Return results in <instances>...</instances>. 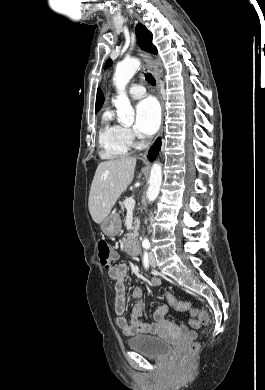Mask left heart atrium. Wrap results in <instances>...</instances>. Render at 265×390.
Masks as SVG:
<instances>
[{
    "label": "left heart atrium",
    "mask_w": 265,
    "mask_h": 390,
    "mask_svg": "<svg viewBox=\"0 0 265 390\" xmlns=\"http://www.w3.org/2000/svg\"><path fill=\"white\" fill-rule=\"evenodd\" d=\"M160 109L152 98L140 101L136 106V129L144 135L154 134L160 124Z\"/></svg>",
    "instance_id": "39dd6f15"
}]
</instances>
